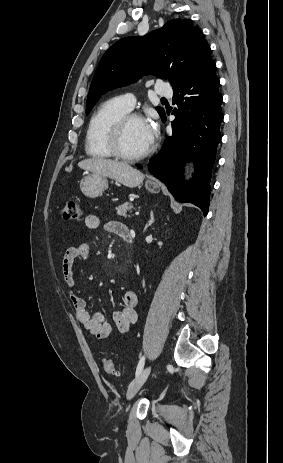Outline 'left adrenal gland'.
<instances>
[{
    "label": "left adrenal gland",
    "mask_w": 283,
    "mask_h": 463,
    "mask_svg": "<svg viewBox=\"0 0 283 463\" xmlns=\"http://www.w3.org/2000/svg\"><path fill=\"white\" fill-rule=\"evenodd\" d=\"M154 221H155V219H154V212L151 211V212H150V220H149L148 223L146 224L144 230H146L149 226H151V224H153Z\"/></svg>",
    "instance_id": "obj_1"
}]
</instances>
